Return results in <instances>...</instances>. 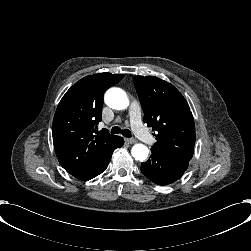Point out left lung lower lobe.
<instances>
[{"label":"left lung lower lobe","instance_id":"obj_1","mask_svg":"<svg viewBox=\"0 0 251 251\" xmlns=\"http://www.w3.org/2000/svg\"><path fill=\"white\" fill-rule=\"evenodd\" d=\"M151 158L141 163V172L158 185H167L178 180L188 168L189 161L171 158L151 150Z\"/></svg>","mask_w":251,"mask_h":251}]
</instances>
